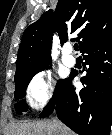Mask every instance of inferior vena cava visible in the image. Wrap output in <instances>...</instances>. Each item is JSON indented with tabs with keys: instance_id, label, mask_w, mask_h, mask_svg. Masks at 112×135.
I'll use <instances>...</instances> for the list:
<instances>
[{
	"instance_id": "602c4592",
	"label": "inferior vena cava",
	"mask_w": 112,
	"mask_h": 135,
	"mask_svg": "<svg viewBox=\"0 0 112 135\" xmlns=\"http://www.w3.org/2000/svg\"><path fill=\"white\" fill-rule=\"evenodd\" d=\"M53 122H54L55 126H57V127L59 126V121L58 120L55 119V120H53Z\"/></svg>"
}]
</instances>
